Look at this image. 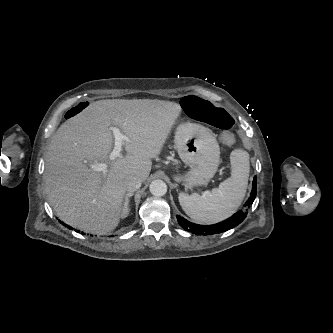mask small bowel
Returning a JSON list of instances; mask_svg holds the SVG:
<instances>
[{"instance_id": "small-bowel-1", "label": "small bowel", "mask_w": 333, "mask_h": 333, "mask_svg": "<svg viewBox=\"0 0 333 333\" xmlns=\"http://www.w3.org/2000/svg\"><path fill=\"white\" fill-rule=\"evenodd\" d=\"M237 140H239L243 144V149L245 151H248L250 149L249 140L244 135L242 134L237 135L236 132L229 131L227 129L220 131L217 142L221 146L229 147L234 143H236Z\"/></svg>"}]
</instances>
